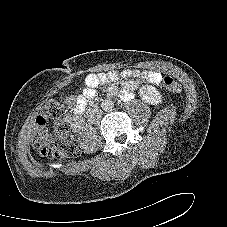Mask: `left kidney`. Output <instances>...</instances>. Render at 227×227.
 <instances>
[{
  "label": "left kidney",
  "mask_w": 227,
  "mask_h": 227,
  "mask_svg": "<svg viewBox=\"0 0 227 227\" xmlns=\"http://www.w3.org/2000/svg\"><path fill=\"white\" fill-rule=\"evenodd\" d=\"M139 93L142 100L148 104L156 105L162 101V95L157 88L152 85L142 86Z\"/></svg>",
  "instance_id": "obj_1"
}]
</instances>
